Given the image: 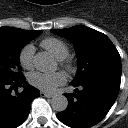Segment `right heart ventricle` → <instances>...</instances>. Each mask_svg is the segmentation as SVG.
<instances>
[{"label": "right heart ventricle", "mask_w": 128, "mask_h": 128, "mask_svg": "<svg viewBox=\"0 0 128 128\" xmlns=\"http://www.w3.org/2000/svg\"><path fill=\"white\" fill-rule=\"evenodd\" d=\"M41 46L58 60L66 58L69 53L67 44L63 40L56 37L44 39L41 42Z\"/></svg>", "instance_id": "1"}]
</instances>
